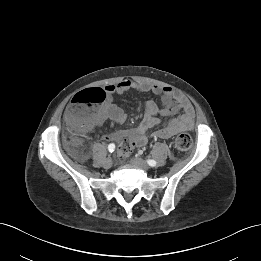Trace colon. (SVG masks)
I'll use <instances>...</instances> for the list:
<instances>
[{
    "instance_id": "obj_1",
    "label": "colon",
    "mask_w": 261,
    "mask_h": 261,
    "mask_svg": "<svg viewBox=\"0 0 261 261\" xmlns=\"http://www.w3.org/2000/svg\"><path fill=\"white\" fill-rule=\"evenodd\" d=\"M106 94L101 88H92L78 93L67 107V120L73 135L87 131L91 124L93 112L105 101ZM175 148L180 152L188 151L192 145L191 137L186 133L179 134L174 141ZM134 145L125 139L120 145L121 156L128 155Z\"/></svg>"
}]
</instances>
